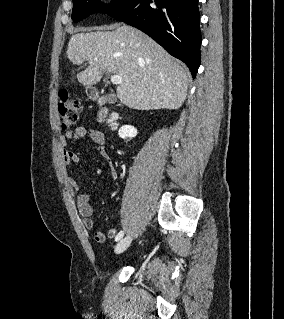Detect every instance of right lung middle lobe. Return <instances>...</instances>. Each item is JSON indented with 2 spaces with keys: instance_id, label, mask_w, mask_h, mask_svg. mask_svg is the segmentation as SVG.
Returning <instances> with one entry per match:
<instances>
[{
  "instance_id": "obj_1",
  "label": "right lung middle lobe",
  "mask_w": 284,
  "mask_h": 319,
  "mask_svg": "<svg viewBox=\"0 0 284 319\" xmlns=\"http://www.w3.org/2000/svg\"><path fill=\"white\" fill-rule=\"evenodd\" d=\"M131 1L112 0L108 6H105L100 0H73L72 19L77 22L96 12L109 13L113 9L124 6Z\"/></svg>"
}]
</instances>
